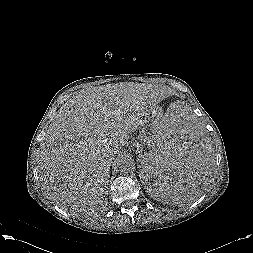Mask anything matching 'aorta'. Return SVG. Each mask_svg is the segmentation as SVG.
I'll list each match as a JSON object with an SVG mask.
<instances>
[{
    "instance_id": "obj_1",
    "label": "aorta",
    "mask_w": 253,
    "mask_h": 253,
    "mask_svg": "<svg viewBox=\"0 0 253 253\" xmlns=\"http://www.w3.org/2000/svg\"><path fill=\"white\" fill-rule=\"evenodd\" d=\"M118 166L121 172L129 173L135 169V162L130 156H122L118 161Z\"/></svg>"
}]
</instances>
